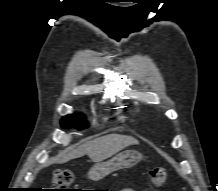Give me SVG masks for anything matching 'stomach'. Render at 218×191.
<instances>
[{
  "label": "stomach",
  "mask_w": 218,
  "mask_h": 191,
  "mask_svg": "<svg viewBox=\"0 0 218 191\" xmlns=\"http://www.w3.org/2000/svg\"><path fill=\"white\" fill-rule=\"evenodd\" d=\"M141 159L142 155L136 151H124L107 161L94 164L88 173V178L93 181L101 180L114 171L134 166Z\"/></svg>",
  "instance_id": "obj_1"
}]
</instances>
